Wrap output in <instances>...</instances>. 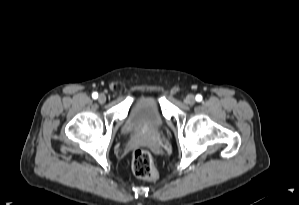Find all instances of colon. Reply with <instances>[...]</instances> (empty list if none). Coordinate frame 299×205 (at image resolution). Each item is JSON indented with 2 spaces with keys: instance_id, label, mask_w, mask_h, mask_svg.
Instances as JSON below:
<instances>
[{
  "instance_id": "colon-1",
  "label": "colon",
  "mask_w": 299,
  "mask_h": 205,
  "mask_svg": "<svg viewBox=\"0 0 299 205\" xmlns=\"http://www.w3.org/2000/svg\"><path fill=\"white\" fill-rule=\"evenodd\" d=\"M132 171L134 175L142 180L154 181L158 178L150 153L143 149H137L131 157Z\"/></svg>"
}]
</instances>
